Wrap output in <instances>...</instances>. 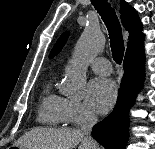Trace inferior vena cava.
Segmentation results:
<instances>
[{"instance_id":"obj_1","label":"inferior vena cava","mask_w":155,"mask_h":149,"mask_svg":"<svg viewBox=\"0 0 155 149\" xmlns=\"http://www.w3.org/2000/svg\"><path fill=\"white\" fill-rule=\"evenodd\" d=\"M98 119L95 114L87 113L81 123V133L85 136L84 140L91 149H98L97 143L91 137L92 127L97 123Z\"/></svg>"}]
</instances>
